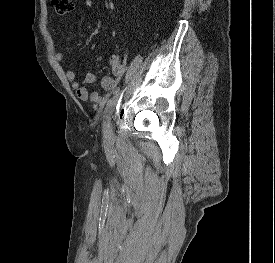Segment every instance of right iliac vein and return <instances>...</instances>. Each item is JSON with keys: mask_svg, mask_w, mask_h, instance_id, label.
Masks as SVG:
<instances>
[{"mask_svg": "<svg viewBox=\"0 0 275 263\" xmlns=\"http://www.w3.org/2000/svg\"><path fill=\"white\" fill-rule=\"evenodd\" d=\"M112 115L110 119L107 121L106 126L103 130V138L105 143H110L112 138V129H113V123H112Z\"/></svg>", "mask_w": 275, "mask_h": 263, "instance_id": "right-iliac-vein-1", "label": "right iliac vein"}]
</instances>
